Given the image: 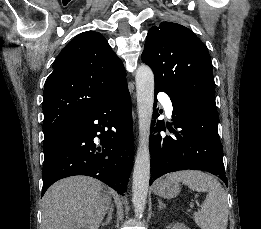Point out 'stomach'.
Returning <instances> with one entry per match:
<instances>
[{"instance_id": "1", "label": "stomach", "mask_w": 261, "mask_h": 229, "mask_svg": "<svg viewBox=\"0 0 261 229\" xmlns=\"http://www.w3.org/2000/svg\"><path fill=\"white\" fill-rule=\"evenodd\" d=\"M153 193L163 199H174L180 193V185L171 179H159L154 185Z\"/></svg>"}]
</instances>
